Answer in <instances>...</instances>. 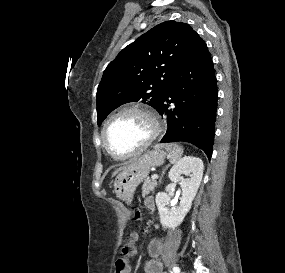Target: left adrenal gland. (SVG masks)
Here are the masks:
<instances>
[{"label": "left adrenal gland", "instance_id": "a2214340", "mask_svg": "<svg viewBox=\"0 0 285 273\" xmlns=\"http://www.w3.org/2000/svg\"><path fill=\"white\" fill-rule=\"evenodd\" d=\"M168 166H169V165H168ZM168 166H166V167L163 169L159 183H161L162 177H163L165 171L167 170Z\"/></svg>", "mask_w": 285, "mask_h": 273}]
</instances>
